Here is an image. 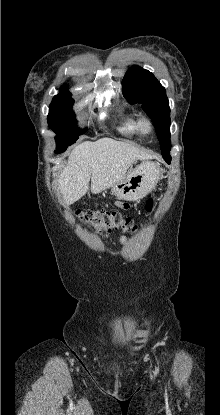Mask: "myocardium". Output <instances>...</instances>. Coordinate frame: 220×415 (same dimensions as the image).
I'll return each mask as SVG.
<instances>
[{
    "label": "myocardium",
    "mask_w": 220,
    "mask_h": 415,
    "mask_svg": "<svg viewBox=\"0 0 220 415\" xmlns=\"http://www.w3.org/2000/svg\"><path fill=\"white\" fill-rule=\"evenodd\" d=\"M137 129L141 135L147 136L153 133L154 125L150 119L142 118L138 122Z\"/></svg>",
    "instance_id": "obj_1"
}]
</instances>
